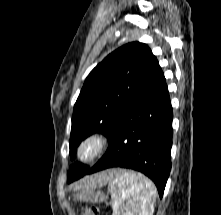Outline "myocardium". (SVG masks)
Masks as SVG:
<instances>
[{
	"label": "myocardium",
	"instance_id": "myocardium-1",
	"mask_svg": "<svg viewBox=\"0 0 221 215\" xmlns=\"http://www.w3.org/2000/svg\"><path fill=\"white\" fill-rule=\"evenodd\" d=\"M109 140L103 134H93L82 141L78 147L77 156L83 163H89L98 158L108 147Z\"/></svg>",
	"mask_w": 221,
	"mask_h": 215
}]
</instances>
